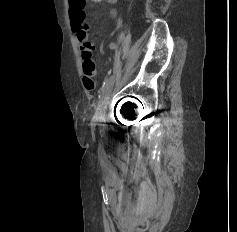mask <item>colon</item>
<instances>
[{"instance_id": "1", "label": "colon", "mask_w": 237, "mask_h": 232, "mask_svg": "<svg viewBox=\"0 0 237 232\" xmlns=\"http://www.w3.org/2000/svg\"><path fill=\"white\" fill-rule=\"evenodd\" d=\"M86 0H69L70 18L73 30L77 35L85 37L89 30V25L85 17Z\"/></svg>"}]
</instances>
